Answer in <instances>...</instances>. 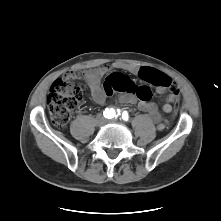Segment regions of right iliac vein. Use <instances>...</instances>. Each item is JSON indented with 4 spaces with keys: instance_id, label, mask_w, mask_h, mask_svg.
Returning a JSON list of instances; mask_svg holds the SVG:
<instances>
[{
    "instance_id": "1",
    "label": "right iliac vein",
    "mask_w": 221,
    "mask_h": 221,
    "mask_svg": "<svg viewBox=\"0 0 221 221\" xmlns=\"http://www.w3.org/2000/svg\"><path fill=\"white\" fill-rule=\"evenodd\" d=\"M104 121H105V119L101 114L97 116V118H96L97 124L101 125L104 123Z\"/></svg>"
}]
</instances>
